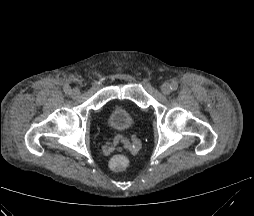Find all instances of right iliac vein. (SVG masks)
<instances>
[{
    "mask_svg": "<svg viewBox=\"0 0 254 216\" xmlns=\"http://www.w3.org/2000/svg\"><path fill=\"white\" fill-rule=\"evenodd\" d=\"M79 94H80V91H79L78 88H74V89L71 90V96H72L73 98L78 97Z\"/></svg>",
    "mask_w": 254,
    "mask_h": 216,
    "instance_id": "right-iliac-vein-1",
    "label": "right iliac vein"
}]
</instances>
